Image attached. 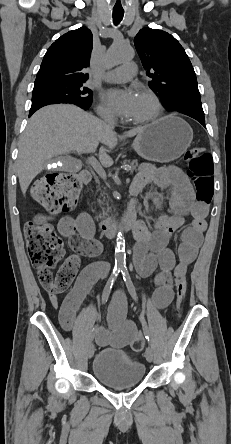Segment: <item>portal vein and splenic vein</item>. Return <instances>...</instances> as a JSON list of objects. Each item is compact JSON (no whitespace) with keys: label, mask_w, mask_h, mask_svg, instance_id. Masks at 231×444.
<instances>
[{"label":"portal vein and splenic vein","mask_w":231,"mask_h":444,"mask_svg":"<svg viewBox=\"0 0 231 444\" xmlns=\"http://www.w3.org/2000/svg\"><path fill=\"white\" fill-rule=\"evenodd\" d=\"M88 162L102 179L105 180L107 178L105 170L103 169L101 164L96 160V158L90 156L88 157Z\"/></svg>","instance_id":"portal-vein-and-splenic-vein-1"}]
</instances>
